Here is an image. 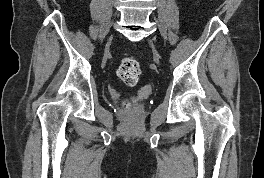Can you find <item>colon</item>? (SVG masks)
<instances>
[{
  "label": "colon",
  "mask_w": 264,
  "mask_h": 178,
  "mask_svg": "<svg viewBox=\"0 0 264 178\" xmlns=\"http://www.w3.org/2000/svg\"><path fill=\"white\" fill-rule=\"evenodd\" d=\"M117 76L129 86L137 84L141 76L140 64L132 58L123 59L117 68Z\"/></svg>",
  "instance_id": "obj_1"
}]
</instances>
